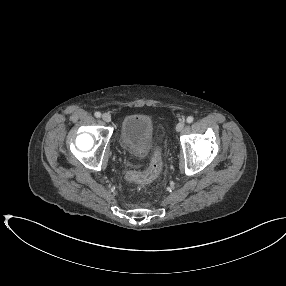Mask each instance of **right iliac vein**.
<instances>
[{"instance_id":"1","label":"right iliac vein","mask_w":286,"mask_h":286,"mask_svg":"<svg viewBox=\"0 0 286 286\" xmlns=\"http://www.w3.org/2000/svg\"><path fill=\"white\" fill-rule=\"evenodd\" d=\"M102 119H103V121L109 123L111 121V116L108 113H104L102 115Z\"/></svg>"}]
</instances>
